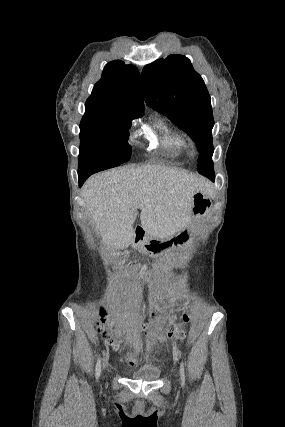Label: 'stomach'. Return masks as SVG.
Segmentation results:
<instances>
[{
    "instance_id": "obj_1",
    "label": "stomach",
    "mask_w": 285,
    "mask_h": 427,
    "mask_svg": "<svg viewBox=\"0 0 285 427\" xmlns=\"http://www.w3.org/2000/svg\"><path fill=\"white\" fill-rule=\"evenodd\" d=\"M212 209V200L203 192H196L192 197L191 215L193 220L184 228L169 238H159L152 235L138 243L139 249L153 256L162 255L169 250L184 246L192 237L195 220L207 216Z\"/></svg>"
}]
</instances>
